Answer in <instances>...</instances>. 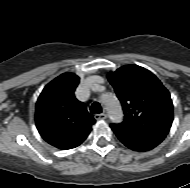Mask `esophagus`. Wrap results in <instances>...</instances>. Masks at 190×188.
I'll return each instance as SVG.
<instances>
[{
	"label": "esophagus",
	"instance_id": "34e87169",
	"mask_svg": "<svg viewBox=\"0 0 190 188\" xmlns=\"http://www.w3.org/2000/svg\"><path fill=\"white\" fill-rule=\"evenodd\" d=\"M94 118H95L96 120H104V119L107 118V115H106L105 113L95 114V115H94Z\"/></svg>",
	"mask_w": 190,
	"mask_h": 188
}]
</instances>
